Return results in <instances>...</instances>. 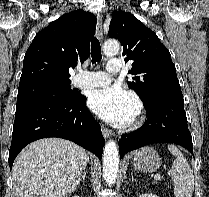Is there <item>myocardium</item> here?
I'll return each mask as SVG.
<instances>
[{
	"instance_id": "1",
	"label": "myocardium",
	"mask_w": 209,
	"mask_h": 197,
	"mask_svg": "<svg viewBox=\"0 0 209 197\" xmlns=\"http://www.w3.org/2000/svg\"><path fill=\"white\" fill-rule=\"evenodd\" d=\"M142 111H143V108L141 105H139L137 107V119H136V124L140 123L141 119H142Z\"/></svg>"
}]
</instances>
